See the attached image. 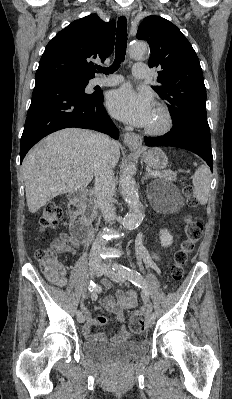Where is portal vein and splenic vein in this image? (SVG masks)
<instances>
[{"mask_svg":"<svg viewBox=\"0 0 232 399\" xmlns=\"http://www.w3.org/2000/svg\"><path fill=\"white\" fill-rule=\"evenodd\" d=\"M146 172H149L152 176H158L157 172H151L150 168H147Z\"/></svg>","mask_w":232,"mask_h":399,"instance_id":"18ae733b","label":"portal vein and splenic vein"}]
</instances>
